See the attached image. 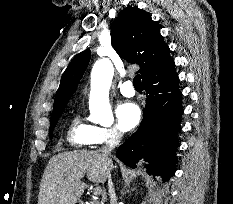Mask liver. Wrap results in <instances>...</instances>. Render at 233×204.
Instances as JSON below:
<instances>
[{
    "label": "liver",
    "instance_id": "1",
    "mask_svg": "<svg viewBox=\"0 0 233 204\" xmlns=\"http://www.w3.org/2000/svg\"><path fill=\"white\" fill-rule=\"evenodd\" d=\"M113 162L99 151H70L59 153L48 161L43 173L38 204H74L82 196L87 178L94 183H105Z\"/></svg>",
    "mask_w": 233,
    "mask_h": 204
}]
</instances>
